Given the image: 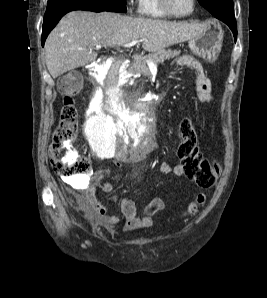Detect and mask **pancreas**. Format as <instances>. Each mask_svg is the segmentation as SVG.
<instances>
[{
	"mask_svg": "<svg viewBox=\"0 0 267 298\" xmlns=\"http://www.w3.org/2000/svg\"><path fill=\"white\" fill-rule=\"evenodd\" d=\"M179 55V52L175 50H159L152 54H149L148 56H137L134 58V63L131 65V67L128 69V72L130 73H142L143 75L149 76L150 71L149 67L146 63V60H151L155 64L163 62L165 59H170L173 57H176Z\"/></svg>",
	"mask_w": 267,
	"mask_h": 298,
	"instance_id": "cf45deb5",
	"label": "pancreas"
}]
</instances>
